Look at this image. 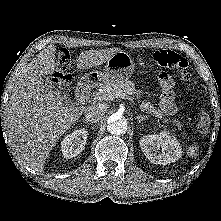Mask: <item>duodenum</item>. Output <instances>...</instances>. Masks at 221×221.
Listing matches in <instances>:
<instances>
[{"label": "duodenum", "instance_id": "1", "mask_svg": "<svg viewBox=\"0 0 221 221\" xmlns=\"http://www.w3.org/2000/svg\"><path fill=\"white\" fill-rule=\"evenodd\" d=\"M91 86L90 80L82 81L76 88V97L81 100L89 91Z\"/></svg>", "mask_w": 221, "mask_h": 221}]
</instances>
